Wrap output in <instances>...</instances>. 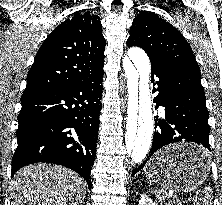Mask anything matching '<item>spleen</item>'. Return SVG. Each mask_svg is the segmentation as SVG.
I'll return each mask as SVG.
<instances>
[{
  "label": "spleen",
  "mask_w": 222,
  "mask_h": 205,
  "mask_svg": "<svg viewBox=\"0 0 222 205\" xmlns=\"http://www.w3.org/2000/svg\"><path fill=\"white\" fill-rule=\"evenodd\" d=\"M158 193V200L160 202H165V199L167 198V196H165L162 191H157ZM212 200V196H211V191L209 188L205 187L202 190H199L196 192V199H195V203L197 205H209V203ZM170 204V202L168 201V205Z\"/></svg>",
  "instance_id": "1"
}]
</instances>
